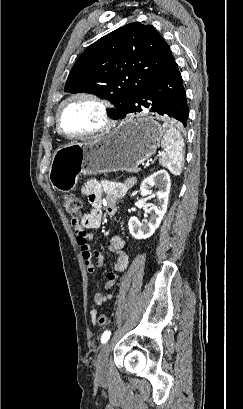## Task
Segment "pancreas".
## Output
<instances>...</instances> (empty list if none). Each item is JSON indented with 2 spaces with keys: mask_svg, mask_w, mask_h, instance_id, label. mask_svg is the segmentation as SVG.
I'll return each mask as SVG.
<instances>
[{
  "mask_svg": "<svg viewBox=\"0 0 243 409\" xmlns=\"http://www.w3.org/2000/svg\"><path fill=\"white\" fill-rule=\"evenodd\" d=\"M139 171H140V169H138V168L133 169V170H129V172H134V173H137V172H139Z\"/></svg>",
  "mask_w": 243,
  "mask_h": 409,
  "instance_id": "1",
  "label": "pancreas"
}]
</instances>
